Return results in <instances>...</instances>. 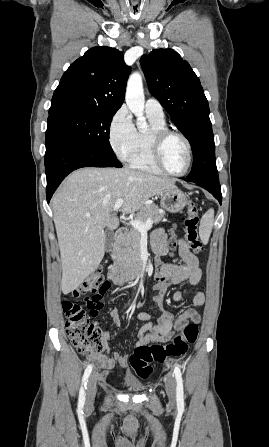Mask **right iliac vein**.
Listing matches in <instances>:
<instances>
[{
  "label": "right iliac vein",
  "mask_w": 269,
  "mask_h": 447,
  "mask_svg": "<svg viewBox=\"0 0 269 447\" xmlns=\"http://www.w3.org/2000/svg\"><path fill=\"white\" fill-rule=\"evenodd\" d=\"M97 381H98V375L96 373H93L88 378V383L86 387V403L87 404H93L96 391H97Z\"/></svg>",
  "instance_id": "right-iliac-vein-1"
}]
</instances>
